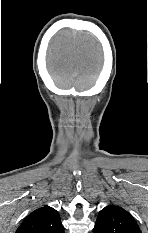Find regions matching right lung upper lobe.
<instances>
[{
  "mask_svg": "<svg viewBox=\"0 0 148 233\" xmlns=\"http://www.w3.org/2000/svg\"><path fill=\"white\" fill-rule=\"evenodd\" d=\"M16 233H64V227L58 212L44 206L28 215Z\"/></svg>",
  "mask_w": 148,
  "mask_h": 233,
  "instance_id": "cb5924a9",
  "label": "right lung upper lobe"
}]
</instances>
